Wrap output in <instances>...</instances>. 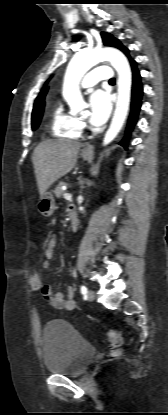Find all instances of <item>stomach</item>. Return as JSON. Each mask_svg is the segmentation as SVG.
I'll list each match as a JSON object with an SVG mask.
<instances>
[{
  "label": "stomach",
  "mask_w": 168,
  "mask_h": 415,
  "mask_svg": "<svg viewBox=\"0 0 168 415\" xmlns=\"http://www.w3.org/2000/svg\"><path fill=\"white\" fill-rule=\"evenodd\" d=\"M83 159L89 160L92 158L93 153L91 151L83 150L81 153ZM55 209V200L52 194L45 193L40 197L38 202V211L45 217H50Z\"/></svg>",
  "instance_id": "stomach-1"
}]
</instances>
